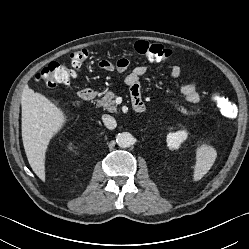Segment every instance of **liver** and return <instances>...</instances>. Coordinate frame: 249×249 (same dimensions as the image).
<instances>
[{"mask_svg": "<svg viewBox=\"0 0 249 249\" xmlns=\"http://www.w3.org/2000/svg\"><path fill=\"white\" fill-rule=\"evenodd\" d=\"M22 140L34 173L45 181V153L66 122L64 112L46 96L26 87L22 93Z\"/></svg>", "mask_w": 249, "mask_h": 249, "instance_id": "6515ba94", "label": "liver"}]
</instances>
